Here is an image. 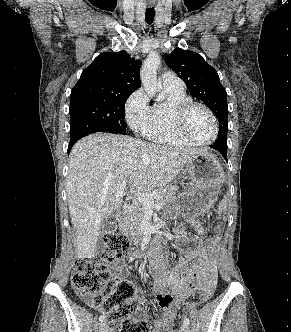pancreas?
<instances>
[{
	"mask_svg": "<svg viewBox=\"0 0 291 332\" xmlns=\"http://www.w3.org/2000/svg\"><path fill=\"white\" fill-rule=\"evenodd\" d=\"M178 190L177 186L166 185L157 188L153 191V196L156 203L163 206L168 204L175 192ZM145 215V205L142 202H136L128 207L120 221V230L122 232H141V224Z\"/></svg>",
	"mask_w": 291,
	"mask_h": 332,
	"instance_id": "obj_1",
	"label": "pancreas"
}]
</instances>
